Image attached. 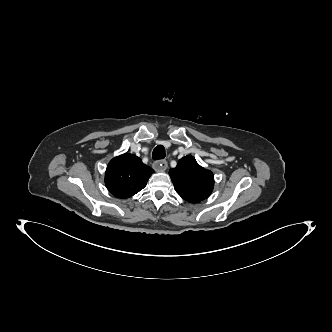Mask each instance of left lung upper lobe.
I'll use <instances>...</instances> for the list:
<instances>
[{"mask_svg": "<svg viewBox=\"0 0 332 332\" xmlns=\"http://www.w3.org/2000/svg\"><path fill=\"white\" fill-rule=\"evenodd\" d=\"M169 175L176 192L187 202L197 203L208 198L214 187V176L201 167L192 156L179 160Z\"/></svg>", "mask_w": 332, "mask_h": 332, "instance_id": "1", "label": "left lung upper lobe"}]
</instances>
